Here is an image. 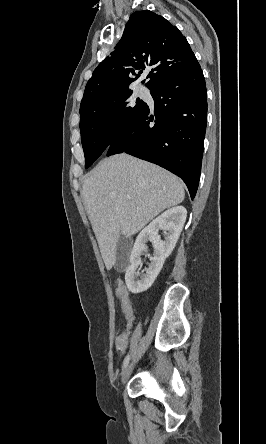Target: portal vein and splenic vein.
<instances>
[{
	"mask_svg": "<svg viewBox=\"0 0 266 444\" xmlns=\"http://www.w3.org/2000/svg\"><path fill=\"white\" fill-rule=\"evenodd\" d=\"M126 198H127V199H130V196H129V195H127V196H126Z\"/></svg>",
	"mask_w": 266,
	"mask_h": 444,
	"instance_id": "1",
	"label": "portal vein and splenic vein"
}]
</instances>
